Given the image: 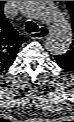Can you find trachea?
Returning a JSON list of instances; mask_svg holds the SVG:
<instances>
[{"instance_id": "3493384b", "label": "trachea", "mask_w": 74, "mask_h": 122, "mask_svg": "<svg viewBox=\"0 0 74 122\" xmlns=\"http://www.w3.org/2000/svg\"><path fill=\"white\" fill-rule=\"evenodd\" d=\"M25 30L27 33L38 32L39 28L33 21H28L25 25Z\"/></svg>"}]
</instances>
